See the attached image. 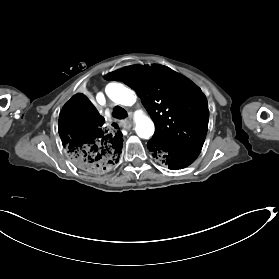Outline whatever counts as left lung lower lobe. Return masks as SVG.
Wrapping results in <instances>:
<instances>
[{
  "instance_id": "obj_1",
  "label": "left lung lower lobe",
  "mask_w": 279,
  "mask_h": 279,
  "mask_svg": "<svg viewBox=\"0 0 279 279\" xmlns=\"http://www.w3.org/2000/svg\"><path fill=\"white\" fill-rule=\"evenodd\" d=\"M153 157L168 165L169 169L178 170L190 165L199 155L201 149L158 144L149 141L147 144Z\"/></svg>"
}]
</instances>
